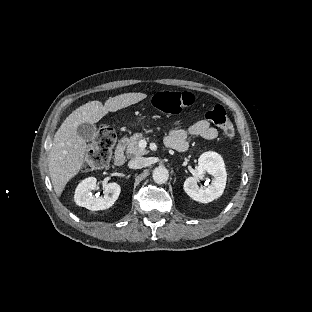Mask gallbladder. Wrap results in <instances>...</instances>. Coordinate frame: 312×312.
<instances>
[{"instance_id": "1", "label": "gallbladder", "mask_w": 312, "mask_h": 312, "mask_svg": "<svg viewBox=\"0 0 312 312\" xmlns=\"http://www.w3.org/2000/svg\"><path fill=\"white\" fill-rule=\"evenodd\" d=\"M78 135L85 141H92L96 136V127L90 123H82L77 127Z\"/></svg>"}]
</instances>
